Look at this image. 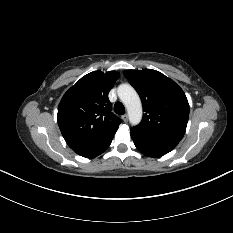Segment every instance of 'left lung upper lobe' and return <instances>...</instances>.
Returning <instances> with one entry per match:
<instances>
[{
    "label": "left lung upper lobe",
    "mask_w": 233,
    "mask_h": 233,
    "mask_svg": "<svg viewBox=\"0 0 233 233\" xmlns=\"http://www.w3.org/2000/svg\"><path fill=\"white\" fill-rule=\"evenodd\" d=\"M124 75L138 91L145 112L141 123L133 129L180 141L189 117L183 90L156 70H126Z\"/></svg>",
    "instance_id": "left-lung-upper-lobe-1"
}]
</instances>
